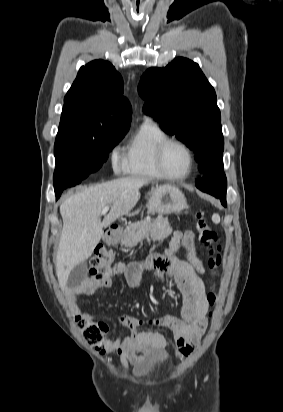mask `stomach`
<instances>
[{
  "label": "stomach",
  "mask_w": 283,
  "mask_h": 412,
  "mask_svg": "<svg viewBox=\"0 0 283 412\" xmlns=\"http://www.w3.org/2000/svg\"><path fill=\"white\" fill-rule=\"evenodd\" d=\"M187 206L184 194L175 186L157 187L148 202V212L155 214L179 213Z\"/></svg>",
  "instance_id": "stomach-1"
}]
</instances>
